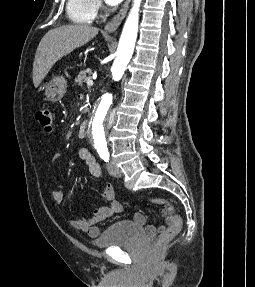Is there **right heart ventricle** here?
I'll use <instances>...</instances> for the list:
<instances>
[{"label":"right heart ventricle","instance_id":"obj_1","mask_svg":"<svg viewBox=\"0 0 255 287\" xmlns=\"http://www.w3.org/2000/svg\"><path fill=\"white\" fill-rule=\"evenodd\" d=\"M84 33H102V32H84ZM85 39H113V38H85ZM99 48H114V47H99Z\"/></svg>","mask_w":255,"mask_h":287}]
</instances>
